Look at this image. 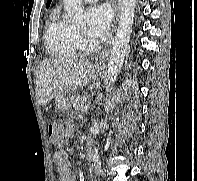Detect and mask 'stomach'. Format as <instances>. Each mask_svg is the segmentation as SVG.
<instances>
[{
    "mask_svg": "<svg viewBox=\"0 0 197 181\" xmlns=\"http://www.w3.org/2000/svg\"><path fill=\"white\" fill-rule=\"evenodd\" d=\"M96 74H101L102 70L97 68ZM75 95L70 90H63L56 95V105L61 111H67L71 107V103L74 99Z\"/></svg>",
    "mask_w": 197,
    "mask_h": 181,
    "instance_id": "1",
    "label": "stomach"
}]
</instances>
